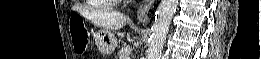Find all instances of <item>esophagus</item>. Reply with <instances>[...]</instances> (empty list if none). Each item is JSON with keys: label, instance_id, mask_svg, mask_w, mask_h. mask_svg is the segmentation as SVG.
Instances as JSON below:
<instances>
[{"label": "esophagus", "instance_id": "esophagus-1", "mask_svg": "<svg viewBox=\"0 0 261 59\" xmlns=\"http://www.w3.org/2000/svg\"><path fill=\"white\" fill-rule=\"evenodd\" d=\"M155 0H144L137 11V19L140 23L146 24L148 22V14L152 8Z\"/></svg>", "mask_w": 261, "mask_h": 59}]
</instances>
